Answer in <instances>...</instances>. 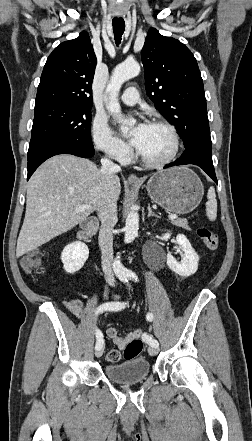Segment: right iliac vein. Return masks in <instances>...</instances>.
<instances>
[{
  "label": "right iliac vein",
  "instance_id": "1",
  "mask_svg": "<svg viewBox=\"0 0 252 441\" xmlns=\"http://www.w3.org/2000/svg\"><path fill=\"white\" fill-rule=\"evenodd\" d=\"M103 347L102 348H100V349H98V350H96V352H95V356L97 357V358H99V357H101L102 356V354H103Z\"/></svg>",
  "mask_w": 252,
  "mask_h": 441
}]
</instances>
